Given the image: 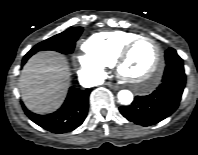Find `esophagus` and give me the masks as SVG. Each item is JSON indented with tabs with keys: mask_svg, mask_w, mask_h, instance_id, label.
<instances>
[{
	"mask_svg": "<svg viewBox=\"0 0 198 155\" xmlns=\"http://www.w3.org/2000/svg\"><path fill=\"white\" fill-rule=\"evenodd\" d=\"M107 85L112 90H118V89H120V87L118 85H116L114 83H111V82H108Z\"/></svg>",
	"mask_w": 198,
	"mask_h": 155,
	"instance_id": "obj_1",
	"label": "esophagus"
}]
</instances>
